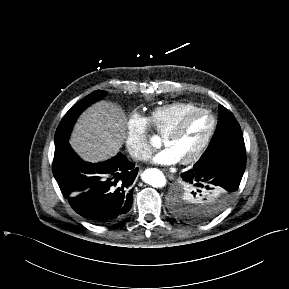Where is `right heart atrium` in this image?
<instances>
[{"mask_svg": "<svg viewBox=\"0 0 289 289\" xmlns=\"http://www.w3.org/2000/svg\"><path fill=\"white\" fill-rule=\"evenodd\" d=\"M125 145L135 160H145L152 152L150 140V121L138 112H132L125 124Z\"/></svg>", "mask_w": 289, "mask_h": 289, "instance_id": "right-heart-atrium-1", "label": "right heart atrium"}]
</instances>
